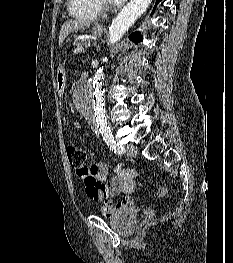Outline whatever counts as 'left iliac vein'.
I'll list each match as a JSON object with an SVG mask.
<instances>
[{"mask_svg": "<svg viewBox=\"0 0 233 263\" xmlns=\"http://www.w3.org/2000/svg\"><path fill=\"white\" fill-rule=\"evenodd\" d=\"M125 151H126V155H127L128 157H131V158L136 157L137 154H138V149H137V147H136L135 145H133V144H128V145H126Z\"/></svg>", "mask_w": 233, "mask_h": 263, "instance_id": "obj_1", "label": "left iliac vein"}]
</instances>
